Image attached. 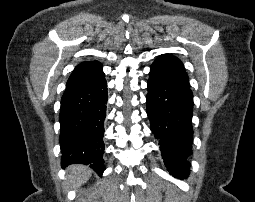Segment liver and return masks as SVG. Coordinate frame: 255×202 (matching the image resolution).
<instances>
[{
  "label": "liver",
  "mask_w": 255,
  "mask_h": 202,
  "mask_svg": "<svg viewBox=\"0 0 255 202\" xmlns=\"http://www.w3.org/2000/svg\"><path fill=\"white\" fill-rule=\"evenodd\" d=\"M68 179L72 188H79L91 176V170L83 165H72L68 169Z\"/></svg>",
  "instance_id": "obj_1"
}]
</instances>
